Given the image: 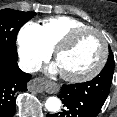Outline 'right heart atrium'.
Listing matches in <instances>:
<instances>
[{
  "label": "right heart atrium",
  "mask_w": 117,
  "mask_h": 117,
  "mask_svg": "<svg viewBox=\"0 0 117 117\" xmlns=\"http://www.w3.org/2000/svg\"><path fill=\"white\" fill-rule=\"evenodd\" d=\"M18 54L22 65L35 69L51 53L41 36L40 26L34 22L26 23L17 36Z\"/></svg>",
  "instance_id": "d8ad5b80"
}]
</instances>
